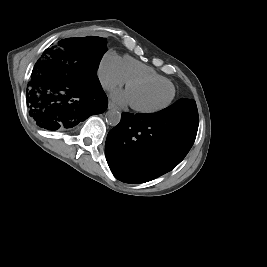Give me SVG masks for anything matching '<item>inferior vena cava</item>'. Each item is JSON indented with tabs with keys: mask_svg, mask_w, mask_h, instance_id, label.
<instances>
[{
	"mask_svg": "<svg viewBox=\"0 0 267 267\" xmlns=\"http://www.w3.org/2000/svg\"><path fill=\"white\" fill-rule=\"evenodd\" d=\"M103 86H104L105 89H110L111 88L110 85H107V84H104Z\"/></svg>",
	"mask_w": 267,
	"mask_h": 267,
	"instance_id": "602c4592",
	"label": "inferior vena cava"
}]
</instances>
